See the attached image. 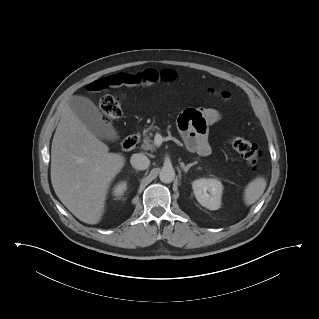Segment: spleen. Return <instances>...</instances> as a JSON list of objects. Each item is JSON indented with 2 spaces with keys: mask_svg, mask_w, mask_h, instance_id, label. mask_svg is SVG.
Wrapping results in <instances>:
<instances>
[{
  "mask_svg": "<svg viewBox=\"0 0 319 319\" xmlns=\"http://www.w3.org/2000/svg\"><path fill=\"white\" fill-rule=\"evenodd\" d=\"M267 183L265 178L256 177L244 190V202L246 205L254 204L264 193Z\"/></svg>",
  "mask_w": 319,
  "mask_h": 319,
  "instance_id": "obj_1",
  "label": "spleen"
}]
</instances>
